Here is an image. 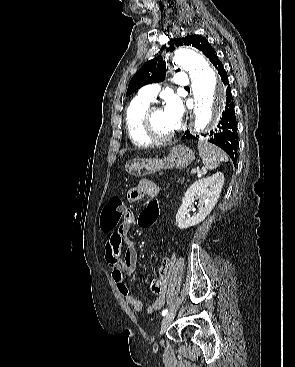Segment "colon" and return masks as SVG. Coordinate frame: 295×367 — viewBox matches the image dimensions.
Listing matches in <instances>:
<instances>
[{"label": "colon", "mask_w": 295, "mask_h": 367, "mask_svg": "<svg viewBox=\"0 0 295 367\" xmlns=\"http://www.w3.org/2000/svg\"><path fill=\"white\" fill-rule=\"evenodd\" d=\"M157 195H149L147 197L145 210L141 213L139 223L142 227H150L154 221H157L159 212L163 211V202ZM126 212L123 201L119 197H112L104 206L100 226L103 231H111L115 229L120 219Z\"/></svg>", "instance_id": "5ec220e1"}]
</instances>
